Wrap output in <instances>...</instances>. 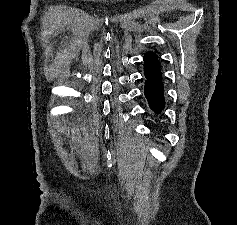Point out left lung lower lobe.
Listing matches in <instances>:
<instances>
[{
  "label": "left lung lower lobe",
  "mask_w": 237,
  "mask_h": 225,
  "mask_svg": "<svg viewBox=\"0 0 237 225\" xmlns=\"http://www.w3.org/2000/svg\"><path fill=\"white\" fill-rule=\"evenodd\" d=\"M144 94L149 102L150 108L159 113L164 108L163 83L161 79L146 76Z\"/></svg>",
  "instance_id": "left-lung-lower-lobe-1"
}]
</instances>
